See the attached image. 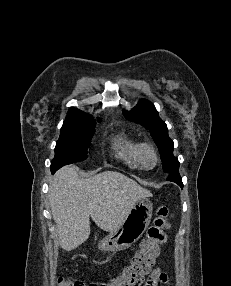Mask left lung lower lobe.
<instances>
[{"label":"left lung lower lobe","mask_w":231,"mask_h":286,"mask_svg":"<svg viewBox=\"0 0 231 286\" xmlns=\"http://www.w3.org/2000/svg\"><path fill=\"white\" fill-rule=\"evenodd\" d=\"M167 180L173 181V182L177 183L178 185H180L181 187H183V183H182V180H181V177L179 175L178 170L174 171V172H171L168 175Z\"/></svg>","instance_id":"obj_1"}]
</instances>
